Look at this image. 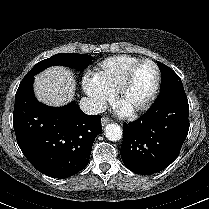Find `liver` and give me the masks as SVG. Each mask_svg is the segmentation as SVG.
Segmentation results:
<instances>
[{
  "label": "liver",
  "instance_id": "liver-1",
  "mask_svg": "<svg viewBox=\"0 0 209 209\" xmlns=\"http://www.w3.org/2000/svg\"><path fill=\"white\" fill-rule=\"evenodd\" d=\"M75 90L72 72L62 66L47 68L35 77V95L40 102L49 106L66 105L73 99Z\"/></svg>",
  "mask_w": 209,
  "mask_h": 209
}]
</instances>
